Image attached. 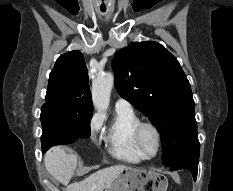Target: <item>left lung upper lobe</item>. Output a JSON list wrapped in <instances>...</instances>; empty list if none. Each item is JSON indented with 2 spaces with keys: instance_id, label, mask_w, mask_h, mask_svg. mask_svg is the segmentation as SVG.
Here are the masks:
<instances>
[{
  "instance_id": "left-lung-upper-lobe-1",
  "label": "left lung upper lobe",
  "mask_w": 233,
  "mask_h": 191,
  "mask_svg": "<svg viewBox=\"0 0 233 191\" xmlns=\"http://www.w3.org/2000/svg\"><path fill=\"white\" fill-rule=\"evenodd\" d=\"M118 93L161 134L163 164L199 156L195 103L177 59L161 44L133 42L112 60Z\"/></svg>"
}]
</instances>
